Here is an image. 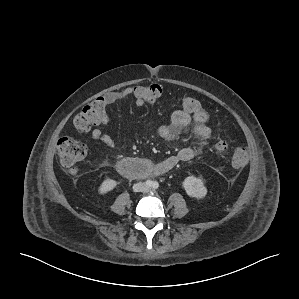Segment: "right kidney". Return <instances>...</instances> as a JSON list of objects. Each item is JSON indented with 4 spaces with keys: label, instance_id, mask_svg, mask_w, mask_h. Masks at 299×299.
Segmentation results:
<instances>
[{
    "label": "right kidney",
    "instance_id": "obj_1",
    "mask_svg": "<svg viewBox=\"0 0 299 299\" xmlns=\"http://www.w3.org/2000/svg\"><path fill=\"white\" fill-rule=\"evenodd\" d=\"M117 186V181L113 179H105L98 188L99 194H106Z\"/></svg>",
    "mask_w": 299,
    "mask_h": 299
}]
</instances>
